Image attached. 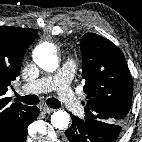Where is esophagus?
<instances>
[{
    "label": "esophagus",
    "mask_w": 142,
    "mask_h": 142,
    "mask_svg": "<svg viewBox=\"0 0 142 142\" xmlns=\"http://www.w3.org/2000/svg\"><path fill=\"white\" fill-rule=\"evenodd\" d=\"M42 110L45 112V113H51L54 111L53 108H49L47 106H42Z\"/></svg>",
    "instance_id": "esophagus-1"
}]
</instances>
